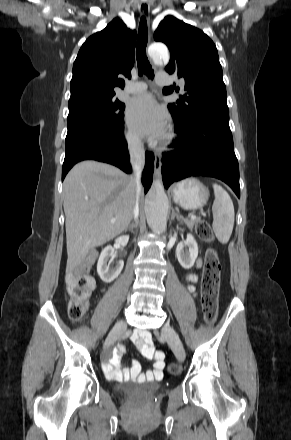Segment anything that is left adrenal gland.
<instances>
[{
	"label": "left adrenal gland",
	"instance_id": "left-adrenal-gland-1",
	"mask_svg": "<svg viewBox=\"0 0 291 440\" xmlns=\"http://www.w3.org/2000/svg\"><path fill=\"white\" fill-rule=\"evenodd\" d=\"M175 217L177 218L178 221L181 220V217H180V216L175 212V210L173 209V210H172V216H171V219L173 220Z\"/></svg>",
	"mask_w": 291,
	"mask_h": 440
}]
</instances>
